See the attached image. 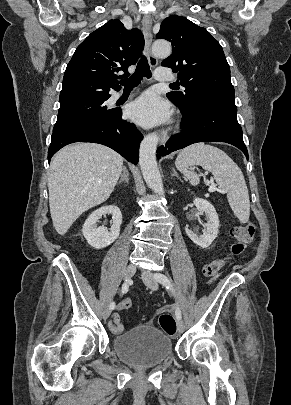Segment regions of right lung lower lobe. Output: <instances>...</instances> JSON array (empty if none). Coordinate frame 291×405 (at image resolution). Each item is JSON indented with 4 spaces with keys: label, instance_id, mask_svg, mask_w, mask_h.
<instances>
[{
    "label": "right lung lower lobe",
    "instance_id": "obj_1",
    "mask_svg": "<svg viewBox=\"0 0 291 405\" xmlns=\"http://www.w3.org/2000/svg\"><path fill=\"white\" fill-rule=\"evenodd\" d=\"M142 134L136 126L122 120V111L114 110L100 118L71 124L53 131L48 160L63 146L74 142H93L106 145L133 164L138 163Z\"/></svg>",
    "mask_w": 291,
    "mask_h": 405
}]
</instances>
